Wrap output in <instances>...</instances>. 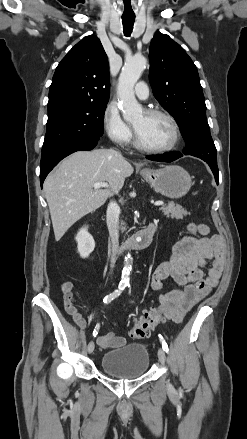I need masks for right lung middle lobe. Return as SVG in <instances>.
<instances>
[{
	"instance_id": "dd1d6c3e",
	"label": "right lung middle lobe",
	"mask_w": 247,
	"mask_h": 439,
	"mask_svg": "<svg viewBox=\"0 0 247 439\" xmlns=\"http://www.w3.org/2000/svg\"><path fill=\"white\" fill-rule=\"evenodd\" d=\"M106 104L67 100L48 105L42 153L72 144L98 141L103 135Z\"/></svg>"
}]
</instances>
